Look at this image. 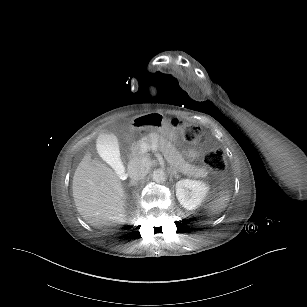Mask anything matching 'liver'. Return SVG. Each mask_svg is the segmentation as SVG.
Wrapping results in <instances>:
<instances>
[{"mask_svg":"<svg viewBox=\"0 0 307 307\" xmlns=\"http://www.w3.org/2000/svg\"><path fill=\"white\" fill-rule=\"evenodd\" d=\"M76 208L91 226L124 222L125 194L118 175L106 164L85 155L73 176Z\"/></svg>","mask_w":307,"mask_h":307,"instance_id":"liver-1","label":"liver"}]
</instances>
